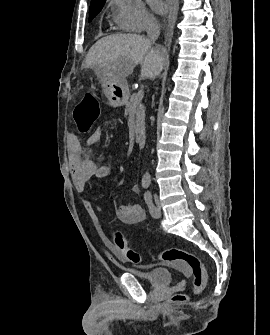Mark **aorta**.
I'll return each mask as SVG.
<instances>
[{"label":"aorta","instance_id":"1","mask_svg":"<svg viewBox=\"0 0 270 335\" xmlns=\"http://www.w3.org/2000/svg\"><path fill=\"white\" fill-rule=\"evenodd\" d=\"M143 177H144V179H149L150 173H148V171H146V173H144Z\"/></svg>","mask_w":270,"mask_h":335}]
</instances>
